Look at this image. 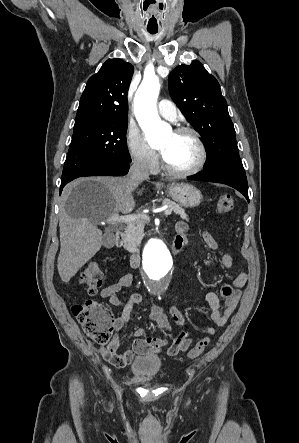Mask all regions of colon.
<instances>
[{"label":"colon","mask_w":299,"mask_h":443,"mask_svg":"<svg viewBox=\"0 0 299 443\" xmlns=\"http://www.w3.org/2000/svg\"><path fill=\"white\" fill-rule=\"evenodd\" d=\"M234 208V200L231 195H221L216 204V209L221 214H227ZM103 281L102 271L95 261L86 264L81 275V283L85 286L88 294L97 293ZM72 313L80 322L83 332L98 345H106L111 342L115 324L114 314L100 302L87 299L81 303L72 305ZM210 339H200L196 345L187 352L190 359L198 358L207 348Z\"/></svg>","instance_id":"obj_1"}]
</instances>
